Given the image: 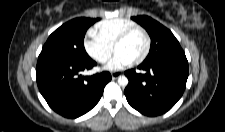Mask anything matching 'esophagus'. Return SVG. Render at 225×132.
I'll use <instances>...</instances> for the list:
<instances>
[{"label":"esophagus","instance_id":"esophagus-1","mask_svg":"<svg viewBox=\"0 0 225 132\" xmlns=\"http://www.w3.org/2000/svg\"><path fill=\"white\" fill-rule=\"evenodd\" d=\"M120 75H121L120 72H113V73L111 74L112 79H116V78H118Z\"/></svg>","mask_w":225,"mask_h":132}]
</instances>
